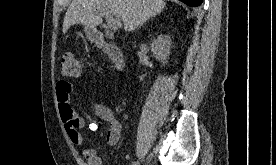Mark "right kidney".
<instances>
[{"label":"right kidney","instance_id":"1","mask_svg":"<svg viewBox=\"0 0 276 165\" xmlns=\"http://www.w3.org/2000/svg\"><path fill=\"white\" fill-rule=\"evenodd\" d=\"M171 39L167 35L158 36L151 44V50L157 60L165 64L168 61L171 50Z\"/></svg>","mask_w":276,"mask_h":165}]
</instances>
